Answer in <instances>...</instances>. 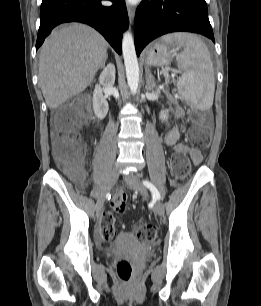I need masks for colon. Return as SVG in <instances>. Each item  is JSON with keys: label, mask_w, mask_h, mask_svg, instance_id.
I'll list each match as a JSON object with an SVG mask.
<instances>
[{"label": "colon", "mask_w": 261, "mask_h": 306, "mask_svg": "<svg viewBox=\"0 0 261 306\" xmlns=\"http://www.w3.org/2000/svg\"><path fill=\"white\" fill-rule=\"evenodd\" d=\"M85 119L86 106L84 100H77L62 107L54 119V158L77 182H81L84 178L85 144L80 138L79 130ZM188 138L193 147L197 149L207 148L211 139L209 127L202 122L194 123L188 130ZM170 167L173 175L182 180L191 170L190 157L184 150H176L170 159ZM126 201L125 193H117L111 201V206L115 211L123 212L126 209ZM114 226L115 216L113 212H104L100 219V231L105 242H110L113 239ZM137 235L143 241L154 242L158 237V230L155 225L146 224L138 228ZM116 272L122 280L129 281L133 276L134 269L128 261L120 260L116 265Z\"/></svg>", "instance_id": "obj_1"}]
</instances>
